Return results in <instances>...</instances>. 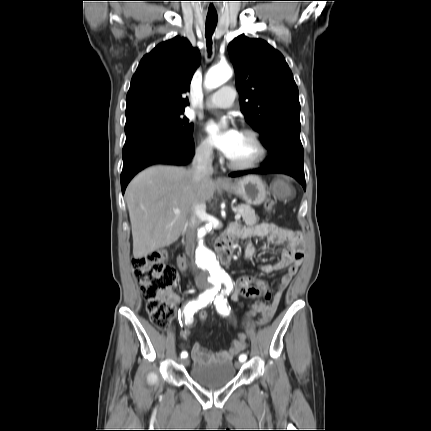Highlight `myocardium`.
<instances>
[{"label":"myocardium","instance_id":"f54148a6","mask_svg":"<svg viewBox=\"0 0 431 431\" xmlns=\"http://www.w3.org/2000/svg\"><path fill=\"white\" fill-rule=\"evenodd\" d=\"M241 133L249 136L252 139V141L254 142L257 148V155L255 158L247 162H234L227 157V164L230 168L236 169V170H246V169L255 168L265 161L268 154L267 147L263 142L260 134L257 131L253 129L245 128L241 131Z\"/></svg>","mask_w":431,"mask_h":431}]
</instances>
